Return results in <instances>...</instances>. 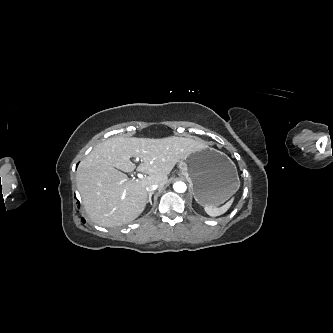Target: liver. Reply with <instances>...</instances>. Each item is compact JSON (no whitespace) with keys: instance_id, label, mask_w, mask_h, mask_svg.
<instances>
[{"instance_id":"liver-1","label":"liver","mask_w":333,"mask_h":333,"mask_svg":"<svg viewBox=\"0 0 333 333\" xmlns=\"http://www.w3.org/2000/svg\"><path fill=\"white\" fill-rule=\"evenodd\" d=\"M206 147L202 140L175 136L114 137L97 144L80 162L76 176L88 216L103 227L133 221L146 207V187L154 183L164 186L180 159ZM132 157L141 160L138 167ZM136 168L145 174L143 178L130 180L123 173Z\"/></svg>"}]
</instances>
